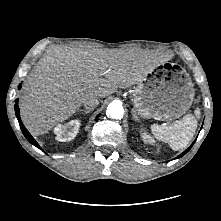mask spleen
I'll list each match as a JSON object with an SVG mask.
<instances>
[{
	"label": "spleen",
	"instance_id": "spleen-1",
	"mask_svg": "<svg viewBox=\"0 0 221 221\" xmlns=\"http://www.w3.org/2000/svg\"><path fill=\"white\" fill-rule=\"evenodd\" d=\"M195 114L196 116L200 114L199 109H196ZM196 116L187 114L168 126L153 124L151 132L156 139L168 143L173 150L184 149L195 134L198 122Z\"/></svg>",
	"mask_w": 221,
	"mask_h": 221
}]
</instances>
